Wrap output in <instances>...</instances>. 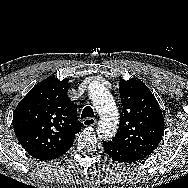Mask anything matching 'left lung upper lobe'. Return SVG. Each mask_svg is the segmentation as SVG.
Here are the masks:
<instances>
[{
    "label": "left lung upper lobe",
    "instance_id": "1",
    "mask_svg": "<svg viewBox=\"0 0 188 188\" xmlns=\"http://www.w3.org/2000/svg\"><path fill=\"white\" fill-rule=\"evenodd\" d=\"M123 110L111 142L143 159L158 147L164 132V118L149 88L139 80H120Z\"/></svg>",
    "mask_w": 188,
    "mask_h": 188
}]
</instances>
